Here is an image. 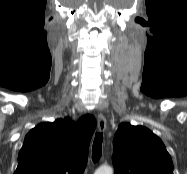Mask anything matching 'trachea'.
Wrapping results in <instances>:
<instances>
[{"instance_id": "obj_1", "label": "trachea", "mask_w": 187, "mask_h": 174, "mask_svg": "<svg viewBox=\"0 0 187 174\" xmlns=\"http://www.w3.org/2000/svg\"><path fill=\"white\" fill-rule=\"evenodd\" d=\"M102 141H103V134L96 133L92 148V159L94 162H98L101 154H102Z\"/></svg>"}]
</instances>
